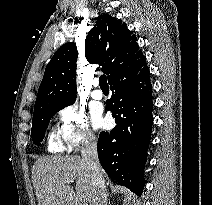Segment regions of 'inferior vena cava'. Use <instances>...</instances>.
I'll return each instance as SVG.
<instances>
[{"instance_id":"inferior-vena-cava-1","label":"inferior vena cava","mask_w":212,"mask_h":205,"mask_svg":"<svg viewBox=\"0 0 212 205\" xmlns=\"http://www.w3.org/2000/svg\"><path fill=\"white\" fill-rule=\"evenodd\" d=\"M82 160L91 172L93 198L91 205H107V194L102 168L97 154V142L91 135H85L81 147Z\"/></svg>"}]
</instances>
